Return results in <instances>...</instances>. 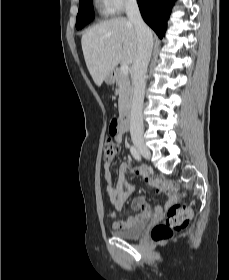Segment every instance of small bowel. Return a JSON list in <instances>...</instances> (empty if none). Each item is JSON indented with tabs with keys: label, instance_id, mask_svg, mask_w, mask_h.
<instances>
[{
	"label": "small bowel",
	"instance_id": "obj_1",
	"mask_svg": "<svg viewBox=\"0 0 229 280\" xmlns=\"http://www.w3.org/2000/svg\"><path fill=\"white\" fill-rule=\"evenodd\" d=\"M126 130L123 131L121 128H118L114 134V139L116 142L121 143L123 139V135ZM127 171H130L131 175L139 174L143 179H149L150 175L147 169L137 166H130L127 162H122L116 169L117 173V182L115 185H112L110 180L108 181L107 191L110 197V201L113 207L116 210L123 209L126 201L129 197L134 193L135 187L133 184L129 182H125V174ZM170 187L168 186H160L157 188L158 194L167 195L170 192ZM132 210L134 212H141L143 215H138L135 217H129L123 221H114L112 224V228L114 231L127 229L132 227L137 221L144 219L145 217H149L151 215L154 216H162L164 214V208L161 206L155 207L152 211L149 206L143 202L142 200H135L132 204ZM109 216L111 218L115 217V213L113 211L109 212Z\"/></svg>",
	"mask_w": 229,
	"mask_h": 280
}]
</instances>
